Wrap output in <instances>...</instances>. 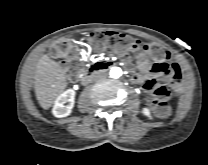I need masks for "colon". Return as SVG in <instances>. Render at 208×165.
<instances>
[{"mask_svg":"<svg viewBox=\"0 0 208 165\" xmlns=\"http://www.w3.org/2000/svg\"><path fill=\"white\" fill-rule=\"evenodd\" d=\"M88 43L95 50L110 48L120 53L147 50L154 60H166L170 55V51L162 45L142 44L129 35L113 31L94 32L89 36ZM50 52L54 58H65L71 53V44L66 39L58 40L52 45ZM168 101L169 91L164 86H157L149 103L157 115L164 116L168 112Z\"/></svg>","mask_w":208,"mask_h":165,"instance_id":"1","label":"colon"}]
</instances>
